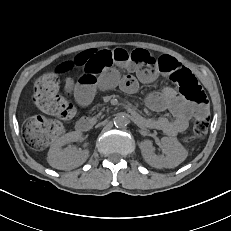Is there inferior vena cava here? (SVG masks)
I'll list each match as a JSON object with an SVG mask.
<instances>
[{"label": "inferior vena cava", "mask_w": 231, "mask_h": 231, "mask_svg": "<svg viewBox=\"0 0 231 231\" xmlns=\"http://www.w3.org/2000/svg\"><path fill=\"white\" fill-rule=\"evenodd\" d=\"M104 123L102 121H100L95 127L98 129L100 128Z\"/></svg>", "instance_id": "602c4592"}]
</instances>
